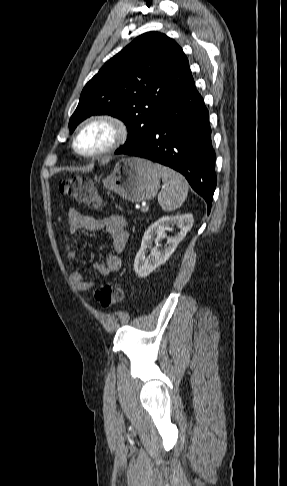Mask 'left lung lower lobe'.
<instances>
[{"label":"left lung lower lobe","mask_w":287,"mask_h":486,"mask_svg":"<svg viewBox=\"0 0 287 486\" xmlns=\"http://www.w3.org/2000/svg\"><path fill=\"white\" fill-rule=\"evenodd\" d=\"M120 154L146 158L179 171L205 199L210 211L216 188L215 152L209 113L193 78L169 102L144 142Z\"/></svg>","instance_id":"1"}]
</instances>
